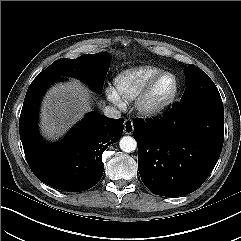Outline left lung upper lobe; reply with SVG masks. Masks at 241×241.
<instances>
[{
  "label": "left lung upper lobe",
  "instance_id": "1",
  "mask_svg": "<svg viewBox=\"0 0 241 241\" xmlns=\"http://www.w3.org/2000/svg\"><path fill=\"white\" fill-rule=\"evenodd\" d=\"M186 89L181 101L195 98H211L220 100L221 96L210 77L196 66L189 65L185 69Z\"/></svg>",
  "mask_w": 241,
  "mask_h": 241
}]
</instances>
